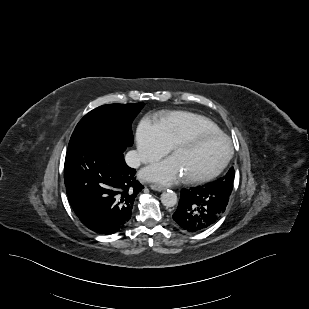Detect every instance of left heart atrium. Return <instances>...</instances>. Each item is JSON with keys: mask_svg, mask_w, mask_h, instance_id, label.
Returning <instances> with one entry per match:
<instances>
[{"mask_svg": "<svg viewBox=\"0 0 309 309\" xmlns=\"http://www.w3.org/2000/svg\"><path fill=\"white\" fill-rule=\"evenodd\" d=\"M141 175L145 179L165 184L179 182L187 177L175 155L145 168Z\"/></svg>", "mask_w": 309, "mask_h": 309, "instance_id": "1", "label": "left heart atrium"}]
</instances>
